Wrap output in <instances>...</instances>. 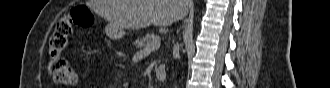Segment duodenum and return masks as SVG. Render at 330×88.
<instances>
[{
    "label": "duodenum",
    "mask_w": 330,
    "mask_h": 88,
    "mask_svg": "<svg viewBox=\"0 0 330 88\" xmlns=\"http://www.w3.org/2000/svg\"><path fill=\"white\" fill-rule=\"evenodd\" d=\"M154 75L157 80L162 81L166 76V67L164 65H158L154 69Z\"/></svg>",
    "instance_id": "duodenum-1"
}]
</instances>
